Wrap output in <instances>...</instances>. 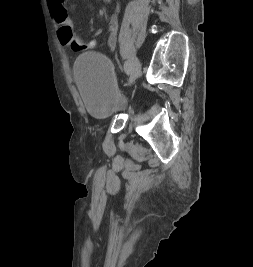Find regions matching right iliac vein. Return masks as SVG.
Returning <instances> with one entry per match:
<instances>
[{
    "label": "right iliac vein",
    "mask_w": 253,
    "mask_h": 267,
    "mask_svg": "<svg viewBox=\"0 0 253 267\" xmlns=\"http://www.w3.org/2000/svg\"><path fill=\"white\" fill-rule=\"evenodd\" d=\"M130 79L129 83H133L137 78L139 71H140V63L137 57H133L130 61Z\"/></svg>",
    "instance_id": "right-iliac-vein-1"
}]
</instances>
